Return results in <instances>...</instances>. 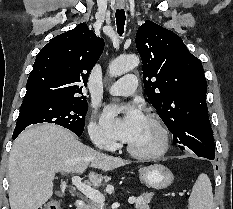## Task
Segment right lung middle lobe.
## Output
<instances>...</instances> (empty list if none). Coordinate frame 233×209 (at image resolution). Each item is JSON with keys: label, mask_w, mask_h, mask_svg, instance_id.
Returning <instances> with one entry per match:
<instances>
[{"label": "right lung middle lobe", "mask_w": 233, "mask_h": 209, "mask_svg": "<svg viewBox=\"0 0 233 209\" xmlns=\"http://www.w3.org/2000/svg\"><path fill=\"white\" fill-rule=\"evenodd\" d=\"M87 112L86 100H43L21 104L14 131L37 123H53L82 134Z\"/></svg>", "instance_id": "obj_1"}]
</instances>
